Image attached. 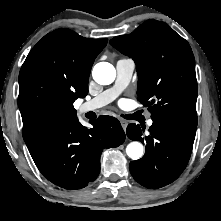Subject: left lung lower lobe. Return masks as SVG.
<instances>
[{
  "label": "left lung lower lobe",
  "instance_id": "1",
  "mask_svg": "<svg viewBox=\"0 0 221 221\" xmlns=\"http://www.w3.org/2000/svg\"><path fill=\"white\" fill-rule=\"evenodd\" d=\"M149 134L144 136V128L130 124L127 136L131 140L146 143L142 159L130 162L133 178L148 188H160L176 180L189 161L196 126L170 119L152 116Z\"/></svg>",
  "mask_w": 221,
  "mask_h": 221
}]
</instances>
